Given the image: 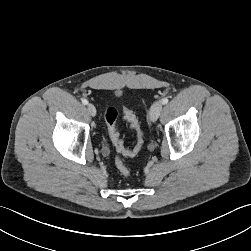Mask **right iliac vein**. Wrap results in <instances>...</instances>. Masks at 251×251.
<instances>
[{"label": "right iliac vein", "mask_w": 251, "mask_h": 251, "mask_svg": "<svg viewBox=\"0 0 251 251\" xmlns=\"http://www.w3.org/2000/svg\"><path fill=\"white\" fill-rule=\"evenodd\" d=\"M87 109H88V112L90 113L91 116H95L96 115V108L93 104L89 103L87 105Z\"/></svg>", "instance_id": "obj_1"}]
</instances>
